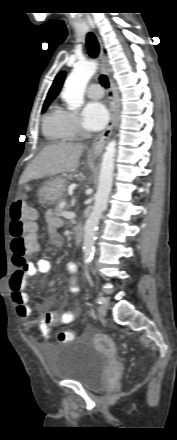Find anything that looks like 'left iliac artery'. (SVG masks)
Masks as SVG:
<instances>
[{"label":"left iliac artery","instance_id":"1","mask_svg":"<svg viewBox=\"0 0 177 440\" xmlns=\"http://www.w3.org/2000/svg\"><path fill=\"white\" fill-rule=\"evenodd\" d=\"M104 301H105V298H104V297H98V298H97V303H99V304L104 303Z\"/></svg>","mask_w":177,"mask_h":440}]
</instances>
